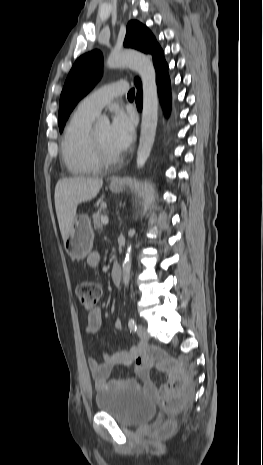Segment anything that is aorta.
Segmentation results:
<instances>
[{
  "label": "aorta",
  "instance_id": "aorta-1",
  "mask_svg": "<svg viewBox=\"0 0 263 465\" xmlns=\"http://www.w3.org/2000/svg\"><path fill=\"white\" fill-rule=\"evenodd\" d=\"M109 68L128 66L135 70L141 77L143 88V111L139 147L137 151V167L141 169L147 162L156 136L158 124V94L156 72L151 58L143 53L124 50L112 52L106 62ZM100 124H108L106 116L100 117ZM129 235H134L130 230ZM132 246L128 245L123 263V283L127 287L130 280Z\"/></svg>",
  "mask_w": 263,
  "mask_h": 465
}]
</instances>
